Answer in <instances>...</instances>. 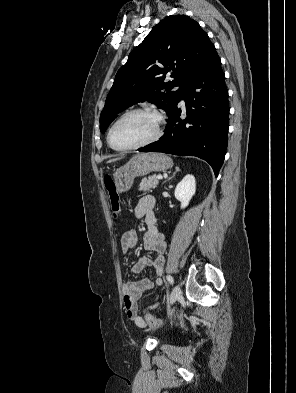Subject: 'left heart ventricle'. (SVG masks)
Listing matches in <instances>:
<instances>
[{
  "label": "left heart ventricle",
  "instance_id": "b2bd125f",
  "mask_svg": "<svg viewBox=\"0 0 296 393\" xmlns=\"http://www.w3.org/2000/svg\"><path fill=\"white\" fill-rule=\"evenodd\" d=\"M156 119L150 114L138 113L123 119L114 129L112 139L118 147H128L151 138L156 131Z\"/></svg>",
  "mask_w": 296,
  "mask_h": 393
}]
</instances>
